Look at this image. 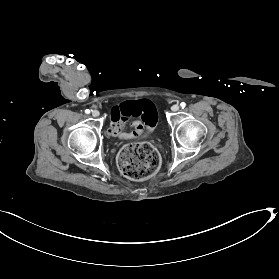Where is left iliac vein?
I'll use <instances>...</instances> for the list:
<instances>
[{
  "instance_id": "left-iliac-vein-1",
  "label": "left iliac vein",
  "mask_w": 279,
  "mask_h": 279,
  "mask_svg": "<svg viewBox=\"0 0 279 279\" xmlns=\"http://www.w3.org/2000/svg\"><path fill=\"white\" fill-rule=\"evenodd\" d=\"M171 110H172L173 112H177V111L179 110V106H178L177 104H175V105H173V106L171 107Z\"/></svg>"
}]
</instances>
